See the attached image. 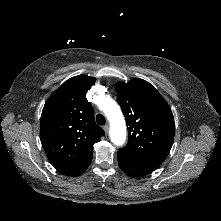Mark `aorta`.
<instances>
[{"mask_svg":"<svg viewBox=\"0 0 221 221\" xmlns=\"http://www.w3.org/2000/svg\"><path fill=\"white\" fill-rule=\"evenodd\" d=\"M100 109L105 113L110 123V139L113 144L121 146L126 140V124L119 105L111 99L100 104Z\"/></svg>","mask_w":221,"mask_h":221,"instance_id":"obj_1","label":"aorta"}]
</instances>
